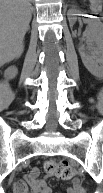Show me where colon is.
<instances>
[{"label":"colon","mask_w":103,"mask_h":193,"mask_svg":"<svg viewBox=\"0 0 103 193\" xmlns=\"http://www.w3.org/2000/svg\"><path fill=\"white\" fill-rule=\"evenodd\" d=\"M45 171L62 180H70L77 176V169L66 161L56 162L48 160L44 164Z\"/></svg>","instance_id":"5ec220e1"}]
</instances>
